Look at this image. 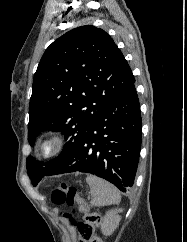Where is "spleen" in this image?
<instances>
[{"label":"spleen","mask_w":187,"mask_h":242,"mask_svg":"<svg viewBox=\"0 0 187 242\" xmlns=\"http://www.w3.org/2000/svg\"><path fill=\"white\" fill-rule=\"evenodd\" d=\"M86 181L90 187L93 206L101 207L119 203L121 195L111 183L94 175H89Z\"/></svg>","instance_id":"obj_1"}]
</instances>
